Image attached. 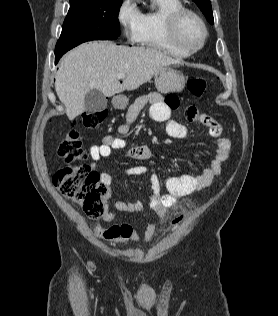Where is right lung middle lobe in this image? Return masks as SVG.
<instances>
[{"mask_svg": "<svg viewBox=\"0 0 278 316\" xmlns=\"http://www.w3.org/2000/svg\"><path fill=\"white\" fill-rule=\"evenodd\" d=\"M121 4L122 0H70L55 55L86 41L116 39L120 35Z\"/></svg>", "mask_w": 278, "mask_h": 316, "instance_id": "obj_1", "label": "right lung middle lobe"}]
</instances>
